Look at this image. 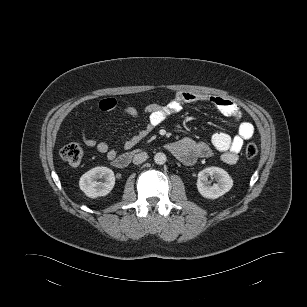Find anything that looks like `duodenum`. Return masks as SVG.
<instances>
[{
	"instance_id": "1",
	"label": "duodenum",
	"mask_w": 307,
	"mask_h": 307,
	"mask_svg": "<svg viewBox=\"0 0 307 307\" xmlns=\"http://www.w3.org/2000/svg\"><path fill=\"white\" fill-rule=\"evenodd\" d=\"M136 152L135 151H130V152H125L121 155H119L116 160L114 161V166L117 168H125L127 167L130 162L132 157L134 156Z\"/></svg>"
}]
</instances>
